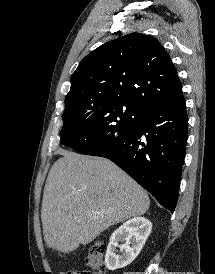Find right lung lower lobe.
<instances>
[{"label":"right lung lower lobe","instance_id":"right-lung-lower-lobe-1","mask_svg":"<svg viewBox=\"0 0 215 274\" xmlns=\"http://www.w3.org/2000/svg\"><path fill=\"white\" fill-rule=\"evenodd\" d=\"M187 137L183 98L144 109L128 132L84 154L110 159L173 212Z\"/></svg>","mask_w":215,"mask_h":274}]
</instances>
